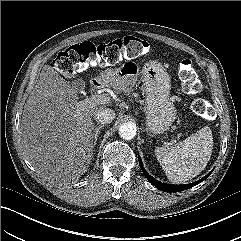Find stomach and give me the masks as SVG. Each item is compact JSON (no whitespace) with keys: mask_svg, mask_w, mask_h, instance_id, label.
<instances>
[{"mask_svg":"<svg viewBox=\"0 0 241 241\" xmlns=\"http://www.w3.org/2000/svg\"><path fill=\"white\" fill-rule=\"evenodd\" d=\"M139 75L146 93V129L152 134L164 133L176 119V109L169 98L170 76L160 63L150 61L139 72L137 64L127 62L117 70L105 72L102 78L117 88H127Z\"/></svg>","mask_w":241,"mask_h":241,"instance_id":"stomach-1","label":"stomach"}]
</instances>
